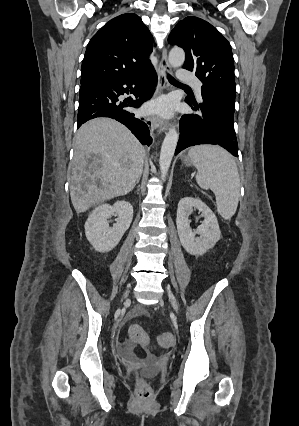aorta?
I'll return each mask as SVG.
<instances>
[{
    "label": "aorta",
    "mask_w": 299,
    "mask_h": 426,
    "mask_svg": "<svg viewBox=\"0 0 299 426\" xmlns=\"http://www.w3.org/2000/svg\"><path fill=\"white\" fill-rule=\"evenodd\" d=\"M185 61V52L182 48L173 47L169 52L168 62L171 67L178 68L182 66ZM179 134L175 128L169 129L166 133L164 141L162 143L159 166L161 171V178L164 180L166 178L167 172L169 170L172 158L175 153V149L178 143Z\"/></svg>",
    "instance_id": "1"
}]
</instances>
